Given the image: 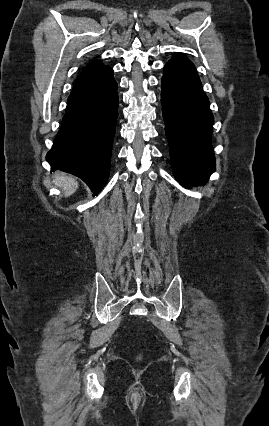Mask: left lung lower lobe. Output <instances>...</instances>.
Here are the masks:
<instances>
[{"label": "left lung lower lobe", "mask_w": 269, "mask_h": 426, "mask_svg": "<svg viewBox=\"0 0 269 426\" xmlns=\"http://www.w3.org/2000/svg\"><path fill=\"white\" fill-rule=\"evenodd\" d=\"M161 103L173 171L184 187L206 183L215 171L213 115L193 63L175 54L164 67Z\"/></svg>", "instance_id": "0a47b994"}]
</instances>
